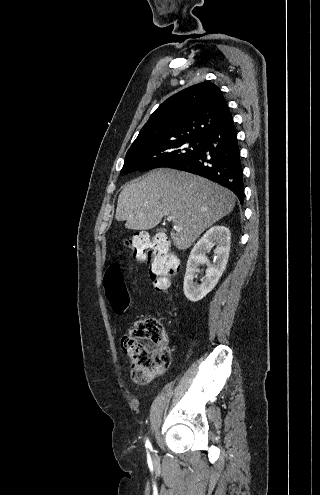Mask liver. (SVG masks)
<instances>
[{"instance_id": "1", "label": "liver", "mask_w": 320, "mask_h": 495, "mask_svg": "<svg viewBox=\"0 0 320 495\" xmlns=\"http://www.w3.org/2000/svg\"><path fill=\"white\" fill-rule=\"evenodd\" d=\"M236 197L207 179L172 169L151 172L140 182L126 183L118 197L115 218L129 230L156 227L172 216L174 245L189 248L205 229L232 212Z\"/></svg>"}]
</instances>
